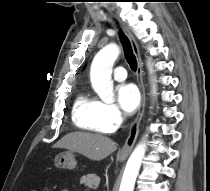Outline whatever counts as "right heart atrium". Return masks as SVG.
I'll list each match as a JSON object with an SVG mask.
<instances>
[{"instance_id": "1", "label": "right heart atrium", "mask_w": 210, "mask_h": 191, "mask_svg": "<svg viewBox=\"0 0 210 191\" xmlns=\"http://www.w3.org/2000/svg\"><path fill=\"white\" fill-rule=\"evenodd\" d=\"M104 119L112 126L117 127L122 122V115L118 107L113 103L101 102Z\"/></svg>"}]
</instances>
